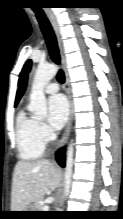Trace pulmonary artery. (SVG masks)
<instances>
[{"label":"pulmonary artery","instance_id":"e3ab8cb5","mask_svg":"<svg viewBox=\"0 0 123 219\" xmlns=\"http://www.w3.org/2000/svg\"><path fill=\"white\" fill-rule=\"evenodd\" d=\"M59 90V85L57 83H50L45 86L44 91L48 94H53L58 92Z\"/></svg>","mask_w":123,"mask_h":219}]
</instances>
